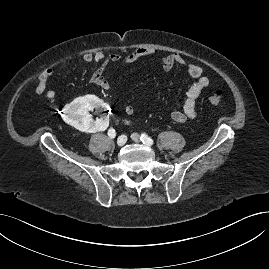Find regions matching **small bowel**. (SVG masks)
<instances>
[{"label": "small bowel", "instance_id": "1", "mask_svg": "<svg viewBox=\"0 0 269 269\" xmlns=\"http://www.w3.org/2000/svg\"><path fill=\"white\" fill-rule=\"evenodd\" d=\"M154 49L149 47L138 48L128 55L119 53H106L104 51H96L93 53H86L83 55L85 63H99L100 67L93 73L92 82L101 88L103 91H108L111 88L109 81L106 78L105 72L110 64H130L143 57L154 54ZM161 66L165 70L172 69L175 65L184 66L189 77L195 79V82L187 91L186 98L182 110L174 111L172 119L178 124L185 123L187 120L194 119L197 116V102L203 90L210 84V79L204 75L203 68L195 63L189 62L182 55L177 53L167 54L160 59ZM71 64L70 60H64L56 66L57 71H63ZM53 68L44 69L36 78L34 83L35 92L39 95H44L47 99L55 97V91L47 88L49 80L54 75ZM124 112L128 116L135 113V107L127 104Z\"/></svg>", "mask_w": 269, "mask_h": 269}]
</instances>
